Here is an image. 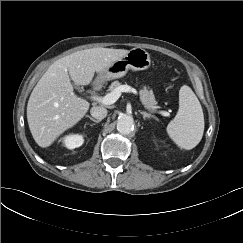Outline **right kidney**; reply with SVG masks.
<instances>
[{"label":"right kidney","mask_w":243,"mask_h":243,"mask_svg":"<svg viewBox=\"0 0 243 243\" xmlns=\"http://www.w3.org/2000/svg\"><path fill=\"white\" fill-rule=\"evenodd\" d=\"M84 142L83 136L80 134H70L63 138V144L68 149L80 147Z\"/></svg>","instance_id":"1"}]
</instances>
